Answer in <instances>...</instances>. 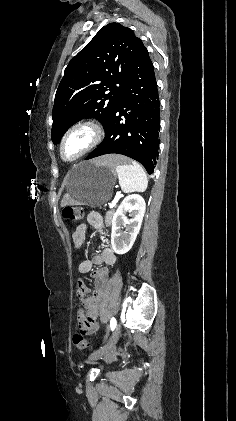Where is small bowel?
<instances>
[{
  "label": "small bowel",
  "mask_w": 236,
  "mask_h": 421,
  "mask_svg": "<svg viewBox=\"0 0 236 421\" xmlns=\"http://www.w3.org/2000/svg\"><path fill=\"white\" fill-rule=\"evenodd\" d=\"M87 221L89 225H91L93 228L97 230V232L99 233L103 232V221L99 213L97 212L90 213L87 218ZM86 229H87V225L81 224L80 226H78V228L74 232L73 240L76 247H80L83 244L85 240ZM84 269H87V266H85ZM85 292H86V286L82 282L78 283L77 295L80 298H82ZM78 317H79V320H83V317L81 314ZM81 325L84 326L85 324L82 323Z\"/></svg>",
  "instance_id": "1"
}]
</instances>
